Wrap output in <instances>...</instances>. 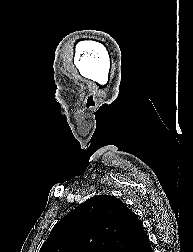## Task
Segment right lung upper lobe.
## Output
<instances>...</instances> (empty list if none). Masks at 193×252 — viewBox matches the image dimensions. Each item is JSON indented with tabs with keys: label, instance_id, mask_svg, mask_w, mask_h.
Listing matches in <instances>:
<instances>
[{
	"label": "right lung upper lobe",
	"instance_id": "obj_1",
	"mask_svg": "<svg viewBox=\"0 0 193 252\" xmlns=\"http://www.w3.org/2000/svg\"><path fill=\"white\" fill-rule=\"evenodd\" d=\"M143 234L140 220L126 204L98 195L63 217L40 252H129Z\"/></svg>",
	"mask_w": 193,
	"mask_h": 252
}]
</instances>
